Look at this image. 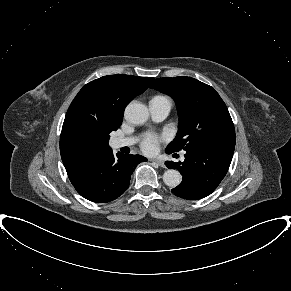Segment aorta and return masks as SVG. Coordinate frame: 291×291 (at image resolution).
Listing matches in <instances>:
<instances>
[{
	"instance_id": "762f6f07",
	"label": "aorta",
	"mask_w": 291,
	"mask_h": 291,
	"mask_svg": "<svg viewBox=\"0 0 291 291\" xmlns=\"http://www.w3.org/2000/svg\"><path fill=\"white\" fill-rule=\"evenodd\" d=\"M125 119L132 124H143L147 121L148 108L141 103L131 102L127 105L124 112ZM181 174L175 169H168L163 174V181L169 187H176L181 183Z\"/></svg>"
}]
</instances>
